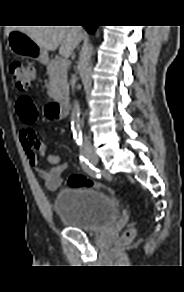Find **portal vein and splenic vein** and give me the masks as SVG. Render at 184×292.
<instances>
[{
  "mask_svg": "<svg viewBox=\"0 0 184 292\" xmlns=\"http://www.w3.org/2000/svg\"><path fill=\"white\" fill-rule=\"evenodd\" d=\"M60 62H61V64H62L63 66H65V67L68 66V60H67L66 58H62V59L60 60Z\"/></svg>",
  "mask_w": 184,
  "mask_h": 292,
  "instance_id": "18ae733b",
  "label": "portal vein and splenic vein"
}]
</instances>
